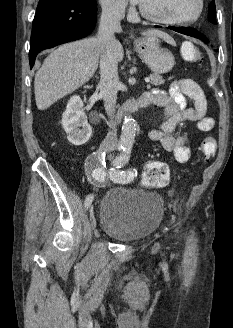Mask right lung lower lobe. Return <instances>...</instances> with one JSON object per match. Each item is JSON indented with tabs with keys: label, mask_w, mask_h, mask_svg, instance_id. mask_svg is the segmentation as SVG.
<instances>
[{
	"label": "right lung lower lobe",
	"mask_w": 233,
	"mask_h": 328,
	"mask_svg": "<svg viewBox=\"0 0 233 328\" xmlns=\"http://www.w3.org/2000/svg\"><path fill=\"white\" fill-rule=\"evenodd\" d=\"M95 0H40L30 40V68L48 48L87 36L95 27Z\"/></svg>",
	"instance_id": "obj_1"
}]
</instances>
